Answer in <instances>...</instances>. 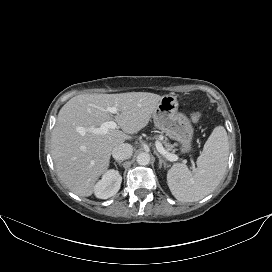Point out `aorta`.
I'll return each mask as SVG.
<instances>
[{
    "label": "aorta",
    "mask_w": 272,
    "mask_h": 272,
    "mask_svg": "<svg viewBox=\"0 0 272 272\" xmlns=\"http://www.w3.org/2000/svg\"><path fill=\"white\" fill-rule=\"evenodd\" d=\"M150 159H151V157H150L149 153L142 152L137 156L136 161L139 165L145 166L150 163Z\"/></svg>",
    "instance_id": "aorta-1"
}]
</instances>
